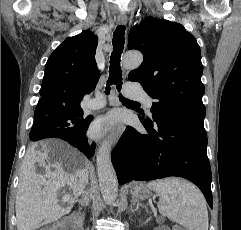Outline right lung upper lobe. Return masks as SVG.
Wrapping results in <instances>:
<instances>
[{
    "label": "right lung upper lobe",
    "mask_w": 241,
    "mask_h": 230,
    "mask_svg": "<svg viewBox=\"0 0 241 230\" xmlns=\"http://www.w3.org/2000/svg\"><path fill=\"white\" fill-rule=\"evenodd\" d=\"M98 38L90 31L65 39L50 55L40 89L37 113L80 106L95 89L100 73L95 62Z\"/></svg>",
    "instance_id": "obj_1"
}]
</instances>
